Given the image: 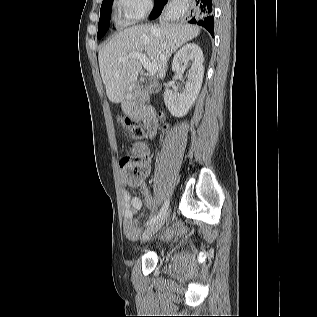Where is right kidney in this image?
Segmentation results:
<instances>
[{"instance_id": "1", "label": "right kidney", "mask_w": 317, "mask_h": 317, "mask_svg": "<svg viewBox=\"0 0 317 317\" xmlns=\"http://www.w3.org/2000/svg\"><path fill=\"white\" fill-rule=\"evenodd\" d=\"M203 61V52L194 43L184 45L174 55L172 71L177 75H182L184 67L188 63H190L191 68L187 75L188 80L185 84V91L182 94H179L176 90H166L164 92L165 105L173 116H185L197 99L203 82Z\"/></svg>"}]
</instances>
